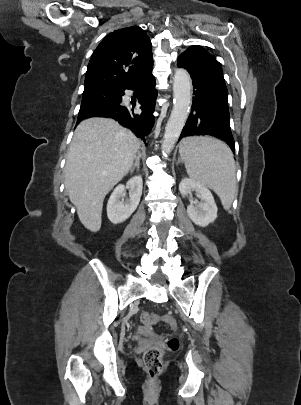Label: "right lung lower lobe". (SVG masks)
Returning <instances> with one entry per match:
<instances>
[{
    "label": "right lung lower lobe",
    "instance_id": "obj_1",
    "mask_svg": "<svg viewBox=\"0 0 301 405\" xmlns=\"http://www.w3.org/2000/svg\"><path fill=\"white\" fill-rule=\"evenodd\" d=\"M152 68L153 66L144 71L138 79L125 88L135 90L137 92V98L141 104V115H137L133 112L134 106L122 105L121 98V100L112 104L98 106L86 111H80L77 123L85 118L90 117L113 118L122 126L133 131L136 136L142 138L146 143L145 136L149 134L154 124L152 112L154 111L155 100L157 97L155 78L152 75ZM124 90L122 91V96L124 95Z\"/></svg>",
    "mask_w": 301,
    "mask_h": 405
}]
</instances>
